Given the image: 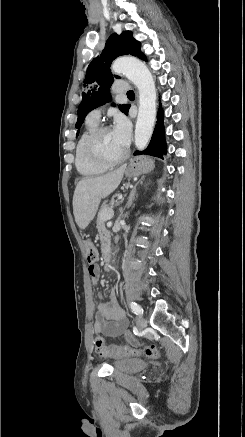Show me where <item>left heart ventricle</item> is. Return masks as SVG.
Listing matches in <instances>:
<instances>
[{
	"instance_id": "obj_1",
	"label": "left heart ventricle",
	"mask_w": 245,
	"mask_h": 437,
	"mask_svg": "<svg viewBox=\"0 0 245 437\" xmlns=\"http://www.w3.org/2000/svg\"><path fill=\"white\" fill-rule=\"evenodd\" d=\"M100 152L109 159L121 157L126 149L120 145L112 130L105 132L99 141Z\"/></svg>"
}]
</instances>
